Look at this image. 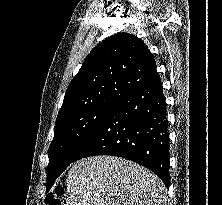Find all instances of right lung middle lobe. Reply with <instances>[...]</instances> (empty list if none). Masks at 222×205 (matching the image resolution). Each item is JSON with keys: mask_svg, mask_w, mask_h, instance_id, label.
<instances>
[{"mask_svg": "<svg viewBox=\"0 0 222 205\" xmlns=\"http://www.w3.org/2000/svg\"><path fill=\"white\" fill-rule=\"evenodd\" d=\"M117 103L94 105L56 122L54 138L48 150L47 186H52L55 179L74 161L83 144Z\"/></svg>", "mask_w": 222, "mask_h": 205, "instance_id": "dd1d6c3e", "label": "right lung middle lobe"}]
</instances>
